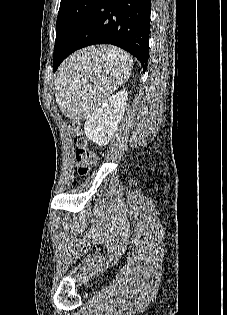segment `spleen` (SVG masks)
<instances>
[{"mask_svg":"<svg viewBox=\"0 0 227 315\" xmlns=\"http://www.w3.org/2000/svg\"><path fill=\"white\" fill-rule=\"evenodd\" d=\"M129 54L112 46L83 49L68 58L56 81V101L70 118L89 119L131 73Z\"/></svg>","mask_w":227,"mask_h":315,"instance_id":"1","label":"spleen"}]
</instances>
